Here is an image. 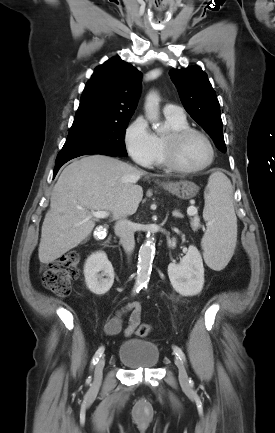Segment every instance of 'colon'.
<instances>
[{
    "mask_svg": "<svg viewBox=\"0 0 275 433\" xmlns=\"http://www.w3.org/2000/svg\"><path fill=\"white\" fill-rule=\"evenodd\" d=\"M79 253L75 250L68 251L59 259L49 263L43 273V285L58 297H67L72 288L73 281L79 274ZM151 332L147 323L138 325L136 334L145 337Z\"/></svg>",
    "mask_w": 275,
    "mask_h": 433,
    "instance_id": "obj_1",
    "label": "colon"
}]
</instances>
